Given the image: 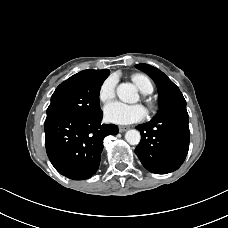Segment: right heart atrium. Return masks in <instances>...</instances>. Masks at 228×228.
<instances>
[{
	"mask_svg": "<svg viewBox=\"0 0 228 228\" xmlns=\"http://www.w3.org/2000/svg\"><path fill=\"white\" fill-rule=\"evenodd\" d=\"M117 85V77L115 75L108 76L100 85L98 98L102 103H107L115 96Z\"/></svg>",
	"mask_w": 228,
	"mask_h": 228,
	"instance_id": "obj_1",
	"label": "right heart atrium"
}]
</instances>
